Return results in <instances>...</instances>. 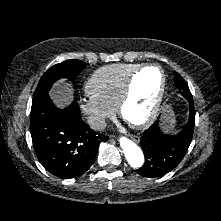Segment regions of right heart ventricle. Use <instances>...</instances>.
<instances>
[{"mask_svg":"<svg viewBox=\"0 0 221 221\" xmlns=\"http://www.w3.org/2000/svg\"><path fill=\"white\" fill-rule=\"evenodd\" d=\"M139 64H114L99 68L87 80L85 92L88 97L104 105L116 108L127 79Z\"/></svg>","mask_w":221,"mask_h":221,"instance_id":"obj_1","label":"right heart ventricle"}]
</instances>
